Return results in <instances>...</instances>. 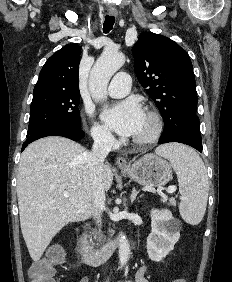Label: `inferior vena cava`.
Segmentation results:
<instances>
[{"label": "inferior vena cava", "mask_w": 232, "mask_h": 282, "mask_svg": "<svg viewBox=\"0 0 232 282\" xmlns=\"http://www.w3.org/2000/svg\"><path fill=\"white\" fill-rule=\"evenodd\" d=\"M114 144L112 135L107 131H100L94 136V144L87 156L89 178L92 186V205L94 219L101 226V215L105 209V191L102 178L104 160Z\"/></svg>", "instance_id": "obj_1"}]
</instances>
